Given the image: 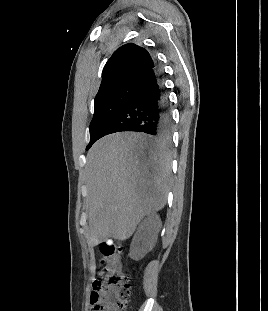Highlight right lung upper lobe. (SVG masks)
<instances>
[{"label":"right lung upper lobe","mask_w":268,"mask_h":311,"mask_svg":"<svg viewBox=\"0 0 268 311\" xmlns=\"http://www.w3.org/2000/svg\"><path fill=\"white\" fill-rule=\"evenodd\" d=\"M154 67L149 52L133 43L118 48L109 58L102 71V82L95 100L117 88L136 84Z\"/></svg>","instance_id":"1"}]
</instances>
